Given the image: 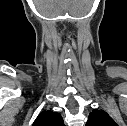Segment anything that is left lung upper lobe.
<instances>
[{
	"instance_id": "1",
	"label": "left lung upper lobe",
	"mask_w": 127,
	"mask_h": 126,
	"mask_svg": "<svg viewBox=\"0 0 127 126\" xmlns=\"http://www.w3.org/2000/svg\"><path fill=\"white\" fill-rule=\"evenodd\" d=\"M86 126H118V125L104 110L94 109L89 114Z\"/></svg>"
}]
</instances>
